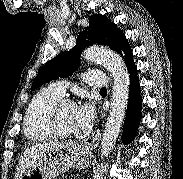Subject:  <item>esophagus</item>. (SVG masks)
Returning a JSON list of instances; mask_svg holds the SVG:
<instances>
[{"label":"esophagus","instance_id":"34e87169","mask_svg":"<svg viewBox=\"0 0 183 179\" xmlns=\"http://www.w3.org/2000/svg\"><path fill=\"white\" fill-rule=\"evenodd\" d=\"M100 136H101L100 131H96L92 135L84 139L82 144L86 147L93 148L98 145Z\"/></svg>","mask_w":183,"mask_h":179}]
</instances>
